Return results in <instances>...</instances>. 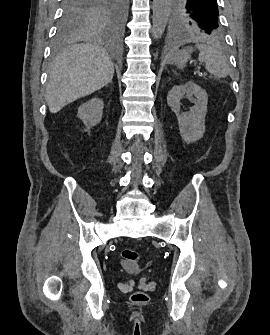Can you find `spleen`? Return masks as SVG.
Wrapping results in <instances>:
<instances>
[{
    "mask_svg": "<svg viewBox=\"0 0 270 335\" xmlns=\"http://www.w3.org/2000/svg\"><path fill=\"white\" fill-rule=\"evenodd\" d=\"M186 42H195L200 54L199 62H205V68L209 74L214 78H226L230 72L229 60L222 50V46L218 40L207 38V44H199L200 38L197 36H190ZM171 56L168 54L166 60H170Z\"/></svg>",
    "mask_w": 270,
    "mask_h": 335,
    "instance_id": "spleen-1",
    "label": "spleen"
}]
</instances>
